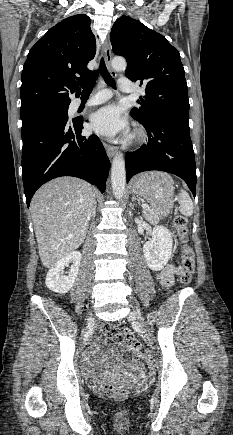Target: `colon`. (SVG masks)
<instances>
[{
	"label": "colon",
	"instance_id": "obj_1",
	"mask_svg": "<svg viewBox=\"0 0 233 435\" xmlns=\"http://www.w3.org/2000/svg\"><path fill=\"white\" fill-rule=\"evenodd\" d=\"M174 227L176 230L177 240L180 244L179 254H180V264L183 271L180 276V281L183 285L188 286L191 282L192 272L194 269V253L190 246L187 244L188 240V221L184 216L178 215L174 219ZM102 334L110 337L115 343L121 344L127 342V344L135 351L140 350V344L136 341L131 332L127 330L116 331V329L111 325H103L100 328ZM101 393L110 398L114 399H125L129 391L125 387L111 383L104 382L100 385Z\"/></svg>",
	"mask_w": 233,
	"mask_h": 435
}]
</instances>
